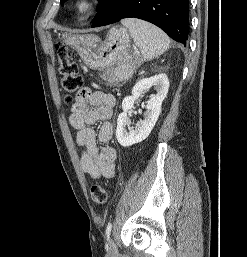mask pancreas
Instances as JSON below:
<instances>
[{"label": "pancreas", "instance_id": "obj_1", "mask_svg": "<svg viewBox=\"0 0 247 257\" xmlns=\"http://www.w3.org/2000/svg\"><path fill=\"white\" fill-rule=\"evenodd\" d=\"M126 69H120V71H125Z\"/></svg>", "mask_w": 247, "mask_h": 257}]
</instances>
